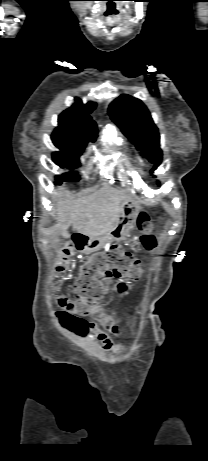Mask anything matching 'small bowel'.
<instances>
[{"label": "small bowel", "mask_w": 208, "mask_h": 461, "mask_svg": "<svg viewBox=\"0 0 208 461\" xmlns=\"http://www.w3.org/2000/svg\"><path fill=\"white\" fill-rule=\"evenodd\" d=\"M103 290L106 292L124 295L131 290V285L125 281H119L115 286L110 287L109 283L106 281L103 284ZM90 315L100 324V327L96 323L91 322L87 325L86 332L89 330L92 335L96 337V339L100 342L101 349L103 351H115L116 347L113 343L111 334H121L118 319L114 315L107 313L100 305H96Z\"/></svg>", "instance_id": "obj_1"}]
</instances>
